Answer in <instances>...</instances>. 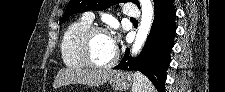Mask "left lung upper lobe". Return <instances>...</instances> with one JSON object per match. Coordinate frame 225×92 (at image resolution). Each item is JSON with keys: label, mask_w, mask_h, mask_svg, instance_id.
Masks as SVG:
<instances>
[{"label": "left lung upper lobe", "mask_w": 225, "mask_h": 92, "mask_svg": "<svg viewBox=\"0 0 225 92\" xmlns=\"http://www.w3.org/2000/svg\"><path fill=\"white\" fill-rule=\"evenodd\" d=\"M127 1L133 2L140 8L138 0H70L63 17L60 19V24L68 20L73 14L85 12L88 10H103L109 8L113 4ZM156 1L157 0H153L154 3Z\"/></svg>", "instance_id": "5c2ea615"}]
</instances>
